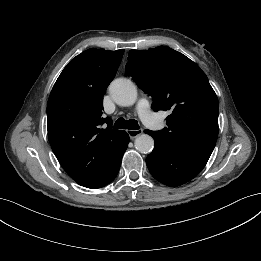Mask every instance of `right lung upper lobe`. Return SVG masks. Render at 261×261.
<instances>
[{"mask_svg":"<svg viewBox=\"0 0 261 261\" xmlns=\"http://www.w3.org/2000/svg\"><path fill=\"white\" fill-rule=\"evenodd\" d=\"M124 50L89 49L73 58L58 77L47 103L49 142L67 174L83 185L97 178L122 145L125 131L102 117L103 96ZM107 123L106 128L101 125Z\"/></svg>","mask_w":261,"mask_h":261,"instance_id":"right-lung-upper-lobe-1","label":"right lung upper lobe"}]
</instances>
